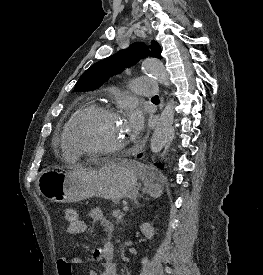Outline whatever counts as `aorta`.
Wrapping results in <instances>:
<instances>
[{
  "instance_id": "1",
  "label": "aorta",
  "mask_w": 263,
  "mask_h": 275,
  "mask_svg": "<svg viewBox=\"0 0 263 275\" xmlns=\"http://www.w3.org/2000/svg\"><path fill=\"white\" fill-rule=\"evenodd\" d=\"M143 71L151 74L158 82L166 87L170 86L169 75L163 65L158 59H149L143 63ZM174 101L170 99L165 105L164 110L156 124L154 133L150 141V149L153 153L160 152L171 135L174 122Z\"/></svg>"
}]
</instances>
